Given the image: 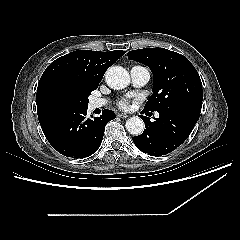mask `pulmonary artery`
<instances>
[{
	"label": "pulmonary artery",
	"mask_w": 240,
	"mask_h": 240,
	"mask_svg": "<svg viewBox=\"0 0 240 240\" xmlns=\"http://www.w3.org/2000/svg\"><path fill=\"white\" fill-rule=\"evenodd\" d=\"M130 77L133 86L142 87L150 80V71L144 66L135 65L130 70ZM106 103V100L97 98L92 101V106L94 108H99L104 106ZM155 116L158 117L159 114L157 113Z\"/></svg>",
	"instance_id": "1"
}]
</instances>
